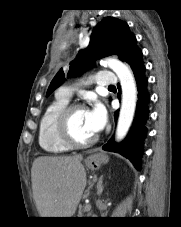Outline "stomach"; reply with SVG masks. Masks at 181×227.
Returning a JSON list of instances; mask_svg holds the SVG:
<instances>
[{"label":"stomach","mask_w":181,"mask_h":227,"mask_svg":"<svg viewBox=\"0 0 181 227\" xmlns=\"http://www.w3.org/2000/svg\"><path fill=\"white\" fill-rule=\"evenodd\" d=\"M108 162V156L104 153L101 152H96L91 155H89L85 159V166L89 170H98L101 165L105 164Z\"/></svg>","instance_id":"1"}]
</instances>
